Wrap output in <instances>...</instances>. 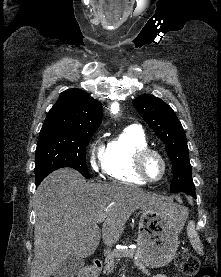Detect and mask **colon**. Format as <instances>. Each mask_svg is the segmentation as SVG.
<instances>
[{"mask_svg": "<svg viewBox=\"0 0 221 277\" xmlns=\"http://www.w3.org/2000/svg\"><path fill=\"white\" fill-rule=\"evenodd\" d=\"M175 266L184 275L192 277H215L209 267H200L199 260L190 253L179 252L175 257Z\"/></svg>", "mask_w": 221, "mask_h": 277, "instance_id": "5ec220e1", "label": "colon"}]
</instances>
